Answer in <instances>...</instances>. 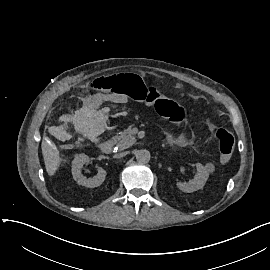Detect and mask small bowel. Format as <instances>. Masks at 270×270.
Wrapping results in <instances>:
<instances>
[{"mask_svg": "<svg viewBox=\"0 0 270 270\" xmlns=\"http://www.w3.org/2000/svg\"><path fill=\"white\" fill-rule=\"evenodd\" d=\"M177 87H180V85H177ZM102 102L125 104L127 102V97L123 94H117V93L98 94L95 98V103L100 104ZM65 147L67 148L68 146L65 145Z\"/></svg>", "mask_w": 270, "mask_h": 270, "instance_id": "small-bowel-1", "label": "small bowel"}]
</instances>
